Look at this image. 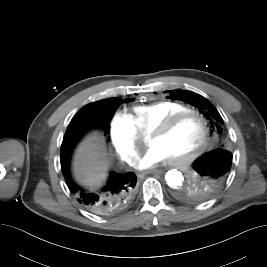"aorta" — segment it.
<instances>
[{
	"label": "aorta",
	"instance_id": "obj_1",
	"mask_svg": "<svg viewBox=\"0 0 267 267\" xmlns=\"http://www.w3.org/2000/svg\"><path fill=\"white\" fill-rule=\"evenodd\" d=\"M165 180L168 186L177 189L182 185L184 181V176L179 170L171 169L166 173Z\"/></svg>",
	"mask_w": 267,
	"mask_h": 267
}]
</instances>
